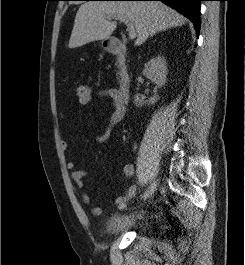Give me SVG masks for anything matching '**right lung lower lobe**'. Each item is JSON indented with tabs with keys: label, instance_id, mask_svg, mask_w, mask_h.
I'll use <instances>...</instances> for the list:
<instances>
[{
	"label": "right lung lower lobe",
	"instance_id": "obj_1",
	"mask_svg": "<svg viewBox=\"0 0 245 265\" xmlns=\"http://www.w3.org/2000/svg\"><path fill=\"white\" fill-rule=\"evenodd\" d=\"M114 1H162L163 3L178 10L185 17H187L194 24L197 36L199 35L200 1L202 0H114Z\"/></svg>",
	"mask_w": 245,
	"mask_h": 265
}]
</instances>
